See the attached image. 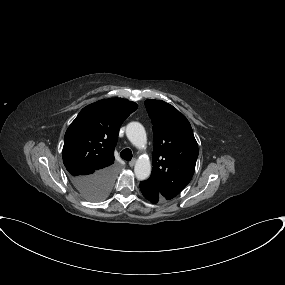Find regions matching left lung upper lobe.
I'll use <instances>...</instances> for the list:
<instances>
[{
	"instance_id": "obj_1",
	"label": "left lung upper lobe",
	"mask_w": 285,
	"mask_h": 285,
	"mask_svg": "<svg viewBox=\"0 0 285 285\" xmlns=\"http://www.w3.org/2000/svg\"><path fill=\"white\" fill-rule=\"evenodd\" d=\"M145 106L154 136L153 170L147 181L169 200L192 179L198 145L190 123L172 105L161 100H146Z\"/></svg>"
}]
</instances>
